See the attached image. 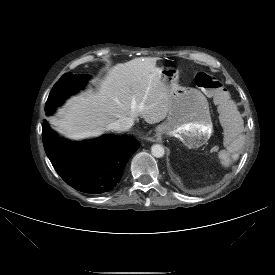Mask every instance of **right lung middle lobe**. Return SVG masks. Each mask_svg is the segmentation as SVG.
<instances>
[{
    "label": "right lung middle lobe",
    "instance_id": "right-lung-middle-lobe-1",
    "mask_svg": "<svg viewBox=\"0 0 275 275\" xmlns=\"http://www.w3.org/2000/svg\"><path fill=\"white\" fill-rule=\"evenodd\" d=\"M87 81L85 75L74 76L71 73L64 74L58 82L53 86L48 100L45 104V111L47 115L54 112L57 105L63 103L70 94L76 93L82 88Z\"/></svg>",
    "mask_w": 275,
    "mask_h": 275
}]
</instances>
